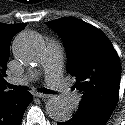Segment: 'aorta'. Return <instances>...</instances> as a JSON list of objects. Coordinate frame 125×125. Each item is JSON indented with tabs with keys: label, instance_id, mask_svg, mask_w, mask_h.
Segmentation results:
<instances>
[{
	"label": "aorta",
	"instance_id": "762f6f07",
	"mask_svg": "<svg viewBox=\"0 0 125 125\" xmlns=\"http://www.w3.org/2000/svg\"><path fill=\"white\" fill-rule=\"evenodd\" d=\"M42 40L34 33L23 32L13 42L14 55L23 63L35 62L42 51ZM47 115L59 122H65L72 116L70 103L63 97H52L46 103Z\"/></svg>",
	"mask_w": 125,
	"mask_h": 125
}]
</instances>
